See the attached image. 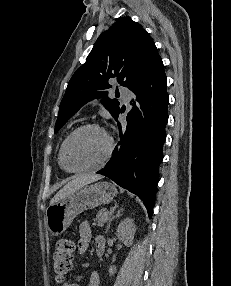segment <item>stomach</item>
<instances>
[{"label":"stomach","mask_w":231,"mask_h":286,"mask_svg":"<svg viewBox=\"0 0 231 286\" xmlns=\"http://www.w3.org/2000/svg\"><path fill=\"white\" fill-rule=\"evenodd\" d=\"M117 190L112 183L100 181L82 186L46 209V225L51 236L61 235L73 219L85 210L110 203Z\"/></svg>","instance_id":"stomach-1"}]
</instances>
